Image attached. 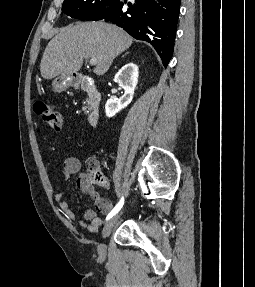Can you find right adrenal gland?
<instances>
[{
    "label": "right adrenal gland",
    "mask_w": 255,
    "mask_h": 287,
    "mask_svg": "<svg viewBox=\"0 0 255 287\" xmlns=\"http://www.w3.org/2000/svg\"><path fill=\"white\" fill-rule=\"evenodd\" d=\"M127 54H129V52H126V54H124V56H127ZM124 56H121V58H124Z\"/></svg>",
    "instance_id": "obj_1"
}]
</instances>
